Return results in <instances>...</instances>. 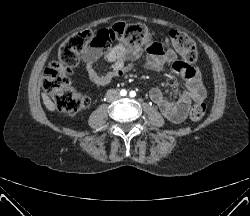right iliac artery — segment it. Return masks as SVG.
I'll use <instances>...</instances> for the list:
<instances>
[{
    "label": "right iliac artery",
    "mask_w": 250,
    "mask_h": 216,
    "mask_svg": "<svg viewBox=\"0 0 250 216\" xmlns=\"http://www.w3.org/2000/svg\"><path fill=\"white\" fill-rule=\"evenodd\" d=\"M120 94H121V96H126L127 91H126L125 89H122V90L120 91Z\"/></svg>",
    "instance_id": "obj_1"
}]
</instances>
